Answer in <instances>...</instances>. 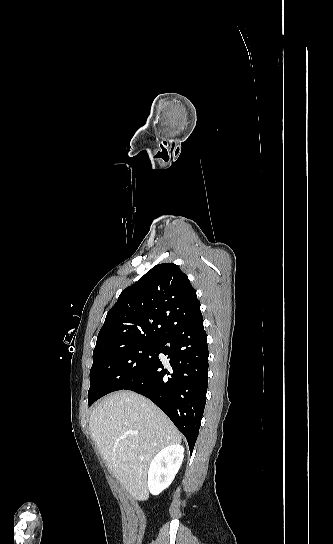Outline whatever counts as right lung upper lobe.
Here are the masks:
<instances>
[{
    "instance_id": "cb5924a9",
    "label": "right lung upper lobe",
    "mask_w": 333,
    "mask_h": 544,
    "mask_svg": "<svg viewBox=\"0 0 333 544\" xmlns=\"http://www.w3.org/2000/svg\"><path fill=\"white\" fill-rule=\"evenodd\" d=\"M200 315L187 275L173 263L158 264L122 291L107 313L93 355L139 339L159 340Z\"/></svg>"
}]
</instances>
